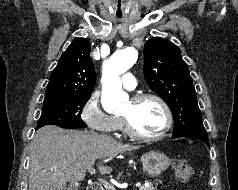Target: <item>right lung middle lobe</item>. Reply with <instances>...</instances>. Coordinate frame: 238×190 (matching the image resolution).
<instances>
[{"label":"right lung middle lobe","mask_w":238,"mask_h":190,"mask_svg":"<svg viewBox=\"0 0 238 190\" xmlns=\"http://www.w3.org/2000/svg\"><path fill=\"white\" fill-rule=\"evenodd\" d=\"M89 95H66L45 98L37 128L44 125H58L72 129L86 127L81 120V110L89 100Z\"/></svg>","instance_id":"right-lung-middle-lobe-1"}]
</instances>
